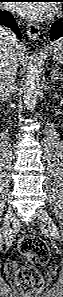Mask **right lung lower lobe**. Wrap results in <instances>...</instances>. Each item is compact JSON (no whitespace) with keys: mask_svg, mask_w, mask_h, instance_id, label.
Instances as JSON below:
<instances>
[{"mask_svg":"<svg viewBox=\"0 0 63 297\" xmlns=\"http://www.w3.org/2000/svg\"><path fill=\"white\" fill-rule=\"evenodd\" d=\"M0 25H5L6 27L11 28L18 36V38L21 39V33L19 32V28L15 24V20L9 12L0 10Z\"/></svg>","mask_w":63,"mask_h":297,"instance_id":"98d812e1","label":"right lung lower lobe"}]
</instances>
